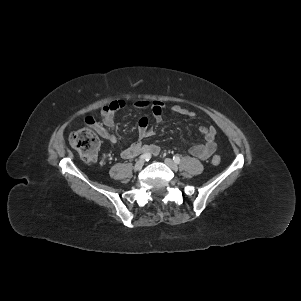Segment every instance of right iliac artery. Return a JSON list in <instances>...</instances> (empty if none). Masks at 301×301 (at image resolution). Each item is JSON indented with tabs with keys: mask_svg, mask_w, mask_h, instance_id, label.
<instances>
[{
	"mask_svg": "<svg viewBox=\"0 0 301 301\" xmlns=\"http://www.w3.org/2000/svg\"><path fill=\"white\" fill-rule=\"evenodd\" d=\"M150 158H151L150 153H144L143 155L140 156V159L146 160V161H149Z\"/></svg>",
	"mask_w": 301,
	"mask_h": 301,
	"instance_id": "82829eb1",
	"label": "right iliac artery"
}]
</instances>
